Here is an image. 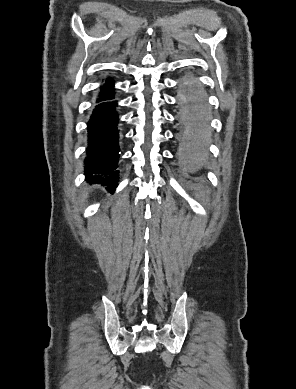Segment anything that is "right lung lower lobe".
<instances>
[{
	"label": "right lung lower lobe",
	"instance_id": "98d812e1",
	"mask_svg": "<svg viewBox=\"0 0 296 389\" xmlns=\"http://www.w3.org/2000/svg\"><path fill=\"white\" fill-rule=\"evenodd\" d=\"M114 92L97 99L87 123L88 147L85 174L88 182L100 183L114 191L118 183L119 115Z\"/></svg>",
	"mask_w": 296,
	"mask_h": 389
}]
</instances>
